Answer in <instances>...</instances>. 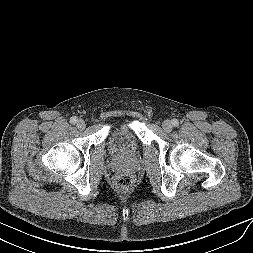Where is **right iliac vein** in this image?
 <instances>
[{"instance_id": "1", "label": "right iliac vein", "mask_w": 253, "mask_h": 253, "mask_svg": "<svg viewBox=\"0 0 253 253\" xmlns=\"http://www.w3.org/2000/svg\"><path fill=\"white\" fill-rule=\"evenodd\" d=\"M76 126L78 129L83 130L86 127L85 121L82 119H79L76 123Z\"/></svg>"}]
</instances>
